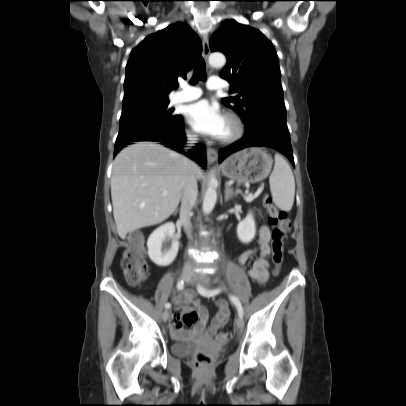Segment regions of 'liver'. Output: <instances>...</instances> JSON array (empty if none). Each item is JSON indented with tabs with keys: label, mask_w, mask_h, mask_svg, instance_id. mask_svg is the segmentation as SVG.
<instances>
[{
	"label": "liver",
	"mask_w": 406,
	"mask_h": 406,
	"mask_svg": "<svg viewBox=\"0 0 406 406\" xmlns=\"http://www.w3.org/2000/svg\"><path fill=\"white\" fill-rule=\"evenodd\" d=\"M189 160L154 142H137L115 158L111 177V198L117 233L159 224L177 208L183 190V173ZM191 162V161H190ZM196 178L204 175L191 162ZM167 191V195H163Z\"/></svg>",
	"instance_id": "obj_1"
}]
</instances>
